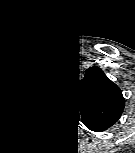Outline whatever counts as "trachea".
Segmentation results:
<instances>
[{
  "label": "trachea",
  "mask_w": 135,
  "mask_h": 153,
  "mask_svg": "<svg viewBox=\"0 0 135 153\" xmlns=\"http://www.w3.org/2000/svg\"><path fill=\"white\" fill-rule=\"evenodd\" d=\"M68 74H71V69H68V72H67Z\"/></svg>",
  "instance_id": "obj_1"
}]
</instances>
